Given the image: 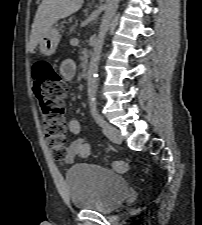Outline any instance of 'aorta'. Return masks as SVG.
I'll use <instances>...</instances> for the list:
<instances>
[{"mask_svg": "<svg viewBox=\"0 0 202 225\" xmlns=\"http://www.w3.org/2000/svg\"><path fill=\"white\" fill-rule=\"evenodd\" d=\"M120 0H107L106 9L101 20L97 40L93 47V53L89 62L87 72V94L90 102H94L97 92V73L104 44L105 35L109 29L110 21L118 8Z\"/></svg>", "mask_w": 202, "mask_h": 225, "instance_id": "1", "label": "aorta"}]
</instances>
